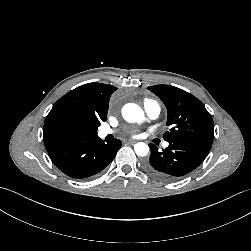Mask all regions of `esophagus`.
<instances>
[{"label":"esophagus","instance_id":"obj_1","mask_svg":"<svg viewBox=\"0 0 251 251\" xmlns=\"http://www.w3.org/2000/svg\"><path fill=\"white\" fill-rule=\"evenodd\" d=\"M136 141L135 140H128L127 143L129 144H134Z\"/></svg>","mask_w":251,"mask_h":251}]
</instances>
